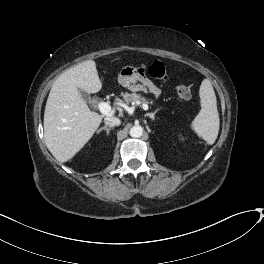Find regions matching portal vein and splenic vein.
<instances>
[{
  "label": "portal vein and splenic vein",
  "instance_id": "obj_1",
  "mask_svg": "<svg viewBox=\"0 0 264 264\" xmlns=\"http://www.w3.org/2000/svg\"><path fill=\"white\" fill-rule=\"evenodd\" d=\"M143 110H148V105L147 104H142ZM97 109L106 116H109L111 114V107L108 103L106 102H100L97 105Z\"/></svg>",
  "mask_w": 264,
  "mask_h": 264
}]
</instances>
